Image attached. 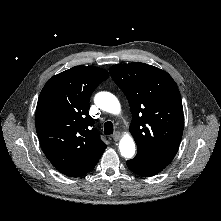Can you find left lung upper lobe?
Segmentation results:
<instances>
[{
    "mask_svg": "<svg viewBox=\"0 0 221 221\" xmlns=\"http://www.w3.org/2000/svg\"><path fill=\"white\" fill-rule=\"evenodd\" d=\"M109 72L130 104L129 131L137 155L169 164L179 148L184 125L176 83L167 72L140 62L114 65Z\"/></svg>",
    "mask_w": 221,
    "mask_h": 221,
    "instance_id": "obj_1",
    "label": "left lung upper lobe"
}]
</instances>
